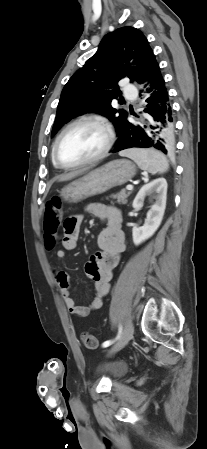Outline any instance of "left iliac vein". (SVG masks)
<instances>
[{
  "instance_id": "1",
  "label": "left iliac vein",
  "mask_w": 207,
  "mask_h": 449,
  "mask_svg": "<svg viewBox=\"0 0 207 449\" xmlns=\"http://www.w3.org/2000/svg\"><path fill=\"white\" fill-rule=\"evenodd\" d=\"M134 327L131 321H128L119 340L113 345L110 353H115L122 349L133 337Z\"/></svg>"
}]
</instances>
